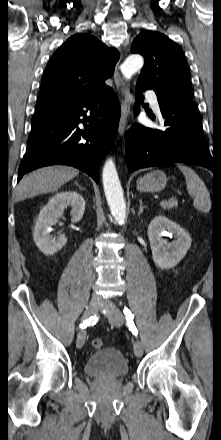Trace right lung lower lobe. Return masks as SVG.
I'll return each mask as SVG.
<instances>
[{
  "label": "right lung lower lobe",
  "instance_id": "98d812e1",
  "mask_svg": "<svg viewBox=\"0 0 221 440\" xmlns=\"http://www.w3.org/2000/svg\"><path fill=\"white\" fill-rule=\"evenodd\" d=\"M119 118V101L111 88L94 96L36 106L18 181L37 168L65 164L98 183L99 165L113 147Z\"/></svg>",
  "mask_w": 221,
  "mask_h": 440
}]
</instances>
